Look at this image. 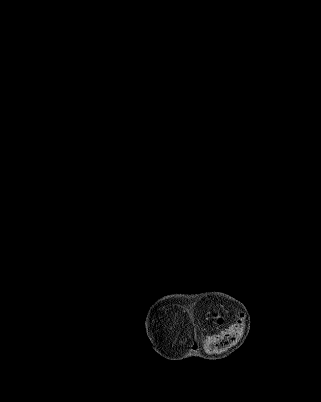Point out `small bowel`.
Returning a JSON list of instances; mask_svg holds the SVG:
<instances>
[{
	"label": "small bowel",
	"instance_id": "small-bowel-1",
	"mask_svg": "<svg viewBox=\"0 0 321 402\" xmlns=\"http://www.w3.org/2000/svg\"><path fill=\"white\" fill-rule=\"evenodd\" d=\"M214 316H216L217 321L220 323L221 322V318L217 317V313L213 312Z\"/></svg>",
	"mask_w": 321,
	"mask_h": 402
}]
</instances>
